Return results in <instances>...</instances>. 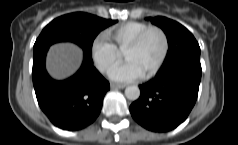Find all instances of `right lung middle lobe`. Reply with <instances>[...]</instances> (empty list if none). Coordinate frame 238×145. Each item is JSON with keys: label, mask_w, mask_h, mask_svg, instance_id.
<instances>
[{"label": "right lung middle lobe", "mask_w": 238, "mask_h": 145, "mask_svg": "<svg viewBox=\"0 0 238 145\" xmlns=\"http://www.w3.org/2000/svg\"><path fill=\"white\" fill-rule=\"evenodd\" d=\"M116 22L83 12L60 16L42 30L34 44V51L57 42L69 41L79 45L84 54L91 56L93 41L98 33Z\"/></svg>", "instance_id": "right-lung-middle-lobe-1"}]
</instances>
